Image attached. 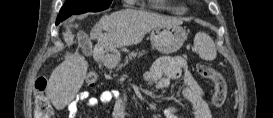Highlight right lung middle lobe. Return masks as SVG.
Segmentation results:
<instances>
[{
    "mask_svg": "<svg viewBox=\"0 0 273 118\" xmlns=\"http://www.w3.org/2000/svg\"><path fill=\"white\" fill-rule=\"evenodd\" d=\"M112 0H67L58 17L68 18L71 15L86 12H98L107 9Z\"/></svg>",
    "mask_w": 273,
    "mask_h": 118,
    "instance_id": "right-lung-middle-lobe-1",
    "label": "right lung middle lobe"
}]
</instances>
